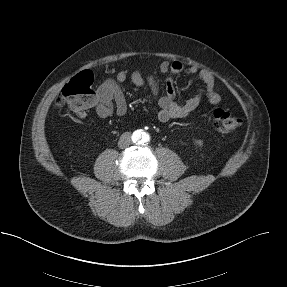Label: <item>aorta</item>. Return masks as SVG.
Segmentation results:
<instances>
[{"label":"aorta","mask_w":287,"mask_h":287,"mask_svg":"<svg viewBox=\"0 0 287 287\" xmlns=\"http://www.w3.org/2000/svg\"><path fill=\"white\" fill-rule=\"evenodd\" d=\"M134 137H136L138 142H140L141 144L147 143L150 139L149 135L142 130L135 131Z\"/></svg>","instance_id":"762f6f07"}]
</instances>
